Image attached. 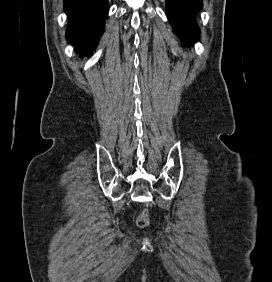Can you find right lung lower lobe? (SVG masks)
<instances>
[{
	"mask_svg": "<svg viewBox=\"0 0 272 282\" xmlns=\"http://www.w3.org/2000/svg\"><path fill=\"white\" fill-rule=\"evenodd\" d=\"M69 22L66 35L81 57L90 56L104 29L107 0H64Z\"/></svg>",
	"mask_w": 272,
	"mask_h": 282,
	"instance_id": "right-lung-lower-lobe-1",
	"label": "right lung lower lobe"
}]
</instances>
